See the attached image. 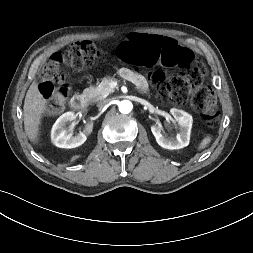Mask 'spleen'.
<instances>
[{
    "label": "spleen",
    "mask_w": 253,
    "mask_h": 253,
    "mask_svg": "<svg viewBox=\"0 0 253 253\" xmlns=\"http://www.w3.org/2000/svg\"><path fill=\"white\" fill-rule=\"evenodd\" d=\"M210 141H211L210 137H205V138L201 141V143L199 144L198 150L200 151V150L205 149V148L207 147V145L210 143Z\"/></svg>",
    "instance_id": "3e777b00"
}]
</instances>
